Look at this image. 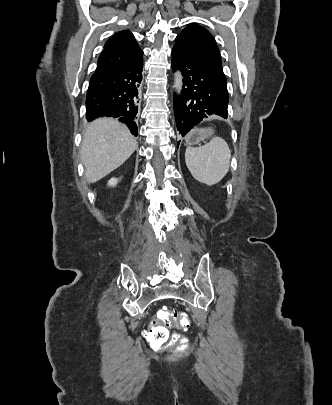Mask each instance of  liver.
Listing matches in <instances>:
<instances>
[{"label": "liver", "instance_id": "obj_1", "mask_svg": "<svg viewBox=\"0 0 332 405\" xmlns=\"http://www.w3.org/2000/svg\"><path fill=\"white\" fill-rule=\"evenodd\" d=\"M138 148L128 128L114 118L93 121L83 135L81 160L88 183L120 167Z\"/></svg>", "mask_w": 332, "mask_h": 405}]
</instances>
